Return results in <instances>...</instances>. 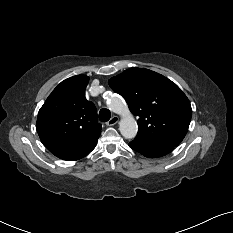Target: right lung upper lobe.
<instances>
[{
    "label": "right lung upper lobe",
    "instance_id": "right-lung-upper-lobe-1",
    "mask_svg": "<svg viewBox=\"0 0 233 233\" xmlns=\"http://www.w3.org/2000/svg\"><path fill=\"white\" fill-rule=\"evenodd\" d=\"M88 81L85 75L62 81L40 108L36 129L47 148L83 146L99 137L96 107L85 97Z\"/></svg>",
    "mask_w": 233,
    "mask_h": 233
}]
</instances>
